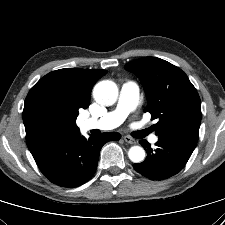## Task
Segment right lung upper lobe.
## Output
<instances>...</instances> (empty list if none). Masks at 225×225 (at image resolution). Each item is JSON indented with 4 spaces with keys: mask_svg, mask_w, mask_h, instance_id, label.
<instances>
[{
    "mask_svg": "<svg viewBox=\"0 0 225 225\" xmlns=\"http://www.w3.org/2000/svg\"><path fill=\"white\" fill-rule=\"evenodd\" d=\"M106 73L101 69L65 68L42 77L25 99L27 145L47 134L79 130L78 110L87 108L92 86Z\"/></svg>",
    "mask_w": 225,
    "mask_h": 225,
    "instance_id": "right-lung-upper-lobe-1",
    "label": "right lung upper lobe"
}]
</instances>
